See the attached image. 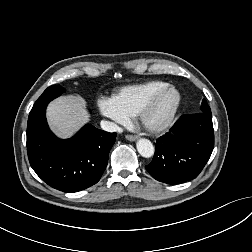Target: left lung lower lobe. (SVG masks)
Returning a JSON list of instances; mask_svg holds the SVG:
<instances>
[{
    "mask_svg": "<svg viewBox=\"0 0 252 252\" xmlns=\"http://www.w3.org/2000/svg\"><path fill=\"white\" fill-rule=\"evenodd\" d=\"M213 148L211 113L183 115L157 139L153 160L145 168L158 181L184 183L199 175Z\"/></svg>",
    "mask_w": 252,
    "mask_h": 252,
    "instance_id": "0a47b994",
    "label": "left lung lower lobe"
}]
</instances>
